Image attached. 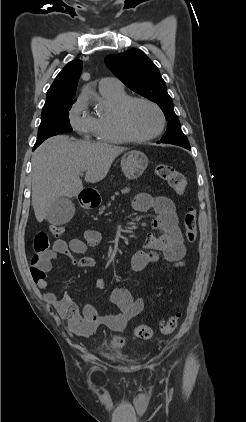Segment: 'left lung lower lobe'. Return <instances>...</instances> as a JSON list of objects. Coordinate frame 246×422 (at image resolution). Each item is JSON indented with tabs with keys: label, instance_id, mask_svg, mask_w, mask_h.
I'll return each instance as SVG.
<instances>
[{
	"label": "left lung lower lobe",
	"instance_id": "obj_1",
	"mask_svg": "<svg viewBox=\"0 0 246 422\" xmlns=\"http://www.w3.org/2000/svg\"><path fill=\"white\" fill-rule=\"evenodd\" d=\"M186 149L190 150V147H188V148H186Z\"/></svg>",
	"mask_w": 246,
	"mask_h": 422
}]
</instances>
